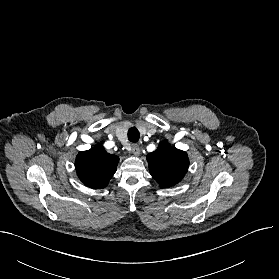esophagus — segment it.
I'll list each match as a JSON object with an SVG mask.
<instances>
[{"instance_id": "34e87169", "label": "esophagus", "mask_w": 279, "mask_h": 279, "mask_svg": "<svg viewBox=\"0 0 279 279\" xmlns=\"http://www.w3.org/2000/svg\"><path fill=\"white\" fill-rule=\"evenodd\" d=\"M140 151H141V149H140V146H139L138 144L133 143V144L131 145V152H132L134 155L139 156V155H140Z\"/></svg>"}]
</instances>
